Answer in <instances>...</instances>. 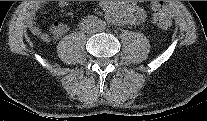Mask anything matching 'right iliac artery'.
<instances>
[{
    "label": "right iliac artery",
    "instance_id": "right-iliac-artery-1",
    "mask_svg": "<svg viewBox=\"0 0 207 121\" xmlns=\"http://www.w3.org/2000/svg\"><path fill=\"white\" fill-rule=\"evenodd\" d=\"M88 20L93 24H99L100 23L99 19L96 16H93V15L89 16Z\"/></svg>",
    "mask_w": 207,
    "mask_h": 121
}]
</instances>
